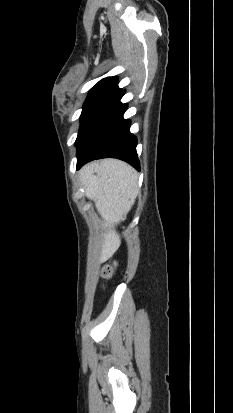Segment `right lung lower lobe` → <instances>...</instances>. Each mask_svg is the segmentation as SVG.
<instances>
[{
    "instance_id": "98d812e1",
    "label": "right lung lower lobe",
    "mask_w": 233,
    "mask_h": 413,
    "mask_svg": "<svg viewBox=\"0 0 233 413\" xmlns=\"http://www.w3.org/2000/svg\"><path fill=\"white\" fill-rule=\"evenodd\" d=\"M125 90L118 88V81L93 112L80 135L77 146V169L85 163L100 158H118L137 170V139L130 134V121L123 119L127 104L120 99Z\"/></svg>"
}]
</instances>
